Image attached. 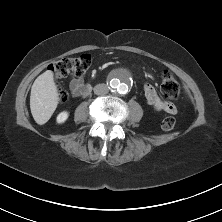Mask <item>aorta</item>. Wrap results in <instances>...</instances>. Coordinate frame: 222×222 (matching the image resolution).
<instances>
[{"instance_id":"1","label":"aorta","mask_w":222,"mask_h":222,"mask_svg":"<svg viewBox=\"0 0 222 222\" xmlns=\"http://www.w3.org/2000/svg\"><path fill=\"white\" fill-rule=\"evenodd\" d=\"M132 78L128 71L118 70L109 81L112 91L118 94H126L131 86Z\"/></svg>"}]
</instances>
